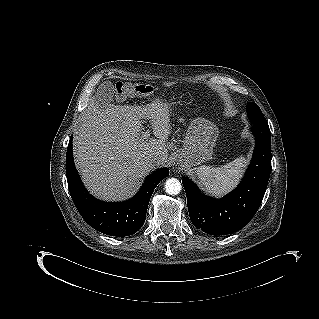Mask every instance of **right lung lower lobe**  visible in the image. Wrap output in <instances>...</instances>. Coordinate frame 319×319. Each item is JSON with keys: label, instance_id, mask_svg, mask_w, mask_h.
<instances>
[{"label": "right lung lower lobe", "instance_id": "1", "mask_svg": "<svg viewBox=\"0 0 319 319\" xmlns=\"http://www.w3.org/2000/svg\"><path fill=\"white\" fill-rule=\"evenodd\" d=\"M169 175L167 168L148 175L140 191L124 202H103L88 193L75 168L72 138L66 153V176L72 200L83 219L94 229L111 236H128L145 222L151 195L157 184Z\"/></svg>", "mask_w": 319, "mask_h": 319}]
</instances>
